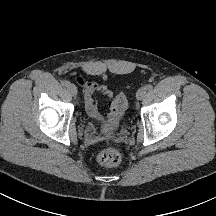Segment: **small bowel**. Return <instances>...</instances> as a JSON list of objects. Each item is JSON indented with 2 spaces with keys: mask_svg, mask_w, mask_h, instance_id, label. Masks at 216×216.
Returning a JSON list of instances; mask_svg holds the SVG:
<instances>
[{
  "mask_svg": "<svg viewBox=\"0 0 216 216\" xmlns=\"http://www.w3.org/2000/svg\"><path fill=\"white\" fill-rule=\"evenodd\" d=\"M77 82L80 86H82L84 91L85 109L88 116L97 121H100L106 117L104 131L111 130L117 117L112 112L104 114L98 107L96 96L101 95L107 99H111L112 92L105 85H98L93 81H88L81 77L77 78Z\"/></svg>",
  "mask_w": 216,
  "mask_h": 216,
  "instance_id": "obj_1",
  "label": "small bowel"
}]
</instances>
